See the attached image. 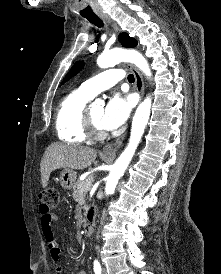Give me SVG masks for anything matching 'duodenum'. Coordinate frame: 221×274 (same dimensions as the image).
Masks as SVG:
<instances>
[{"label":"duodenum","mask_w":221,"mask_h":274,"mask_svg":"<svg viewBox=\"0 0 221 274\" xmlns=\"http://www.w3.org/2000/svg\"><path fill=\"white\" fill-rule=\"evenodd\" d=\"M94 226H95L94 215H93V212H90L87 216V219H86L84 225H83V229H82L83 234L85 236H90L93 233Z\"/></svg>","instance_id":"410a0bca"}]
</instances>
